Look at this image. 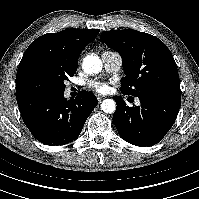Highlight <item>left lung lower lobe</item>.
I'll list each match as a JSON object with an SVG mask.
<instances>
[{
  "label": "left lung lower lobe",
  "mask_w": 199,
  "mask_h": 199,
  "mask_svg": "<svg viewBox=\"0 0 199 199\" xmlns=\"http://www.w3.org/2000/svg\"><path fill=\"white\" fill-rule=\"evenodd\" d=\"M140 106L128 107L121 97H114L117 108L113 123L119 135L136 146H152L162 140L174 124L181 106V95L144 93Z\"/></svg>",
  "instance_id": "obj_1"
}]
</instances>
